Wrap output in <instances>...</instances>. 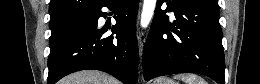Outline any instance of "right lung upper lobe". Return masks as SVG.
<instances>
[{"label": "right lung upper lobe", "instance_id": "cb5924a9", "mask_svg": "<svg viewBox=\"0 0 260 84\" xmlns=\"http://www.w3.org/2000/svg\"><path fill=\"white\" fill-rule=\"evenodd\" d=\"M105 0H51L50 28L69 23L95 12Z\"/></svg>", "mask_w": 260, "mask_h": 84}]
</instances>
